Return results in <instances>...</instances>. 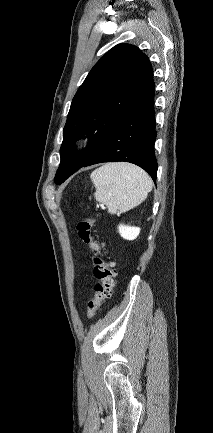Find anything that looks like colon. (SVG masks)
<instances>
[{
    "label": "colon",
    "instance_id": "5ec220e1",
    "mask_svg": "<svg viewBox=\"0 0 213 433\" xmlns=\"http://www.w3.org/2000/svg\"><path fill=\"white\" fill-rule=\"evenodd\" d=\"M94 218L79 220L76 231L81 241L94 252V276L97 279L94 298L88 303L87 317L93 318L102 302L112 294L116 274L114 262L109 258L106 245L93 234Z\"/></svg>",
    "mask_w": 213,
    "mask_h": 433
}]
</instances>
